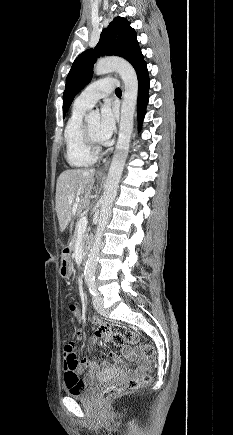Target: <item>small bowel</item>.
<instances>
[{
  "label": "small bowel",
  "instance_id": "small-bowel-1",
  "mask_svg": "<svg viewBox=\"0 0 233 435\" xmlns=\"http://www.w3.org/2000/svg\"><path fill=\"white\" fill-rule=\"evenodd\" d=\"M74 315L77 319H80L81 313L78 309L75 310ZM91 321L97 326L95 334L89 340V346H92L97 340L107 341L110 338L108 327L104 324L97 314L91 316ZM78 338H81L78 336ZM122 352L130 360L136 362L138 365L136 371H140L143 368L142 360L138 356L137 352L129 346H124ZM112 362L102 361L101 364L90 363L87 358H79L77 354H66L64 356L63 373L64 383L69 388L67 376L70 374L78 375L82 373L88 366L90 367L85 375L84 383H89L95 380L97 377L112 372L120 371L124 369V364L118 359L114 352H111Z\"/></svg>",
  "mask_w": 233,
  "mask_h": 435
}]
</instances>
